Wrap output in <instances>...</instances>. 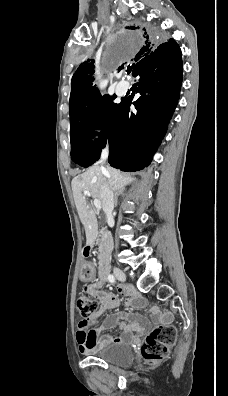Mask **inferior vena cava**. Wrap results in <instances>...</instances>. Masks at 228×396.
Returning <instances> with one entry per match:
<instances>
[{"instance_id":"obj_1","label":"inferior vena cava","mask_w":228,"mask_h":396,"mask_svg":"<svg viewBox=\"0 0 228 396\" xmlns=\"http://www.w3.org/2000/svg\"><path fill=\"white\" fill-rule=\"evenodd\" d=\"M109 150L108 148L104 149L101 154L100 163L103 164L108 158ZM102 171L105 170L103 166H101ZM101 197H102V207L106 214L107 221H111L113 219V209H114V194L111 188L107 183H104L101 188Z\"/></svg>"}]
</instances>
